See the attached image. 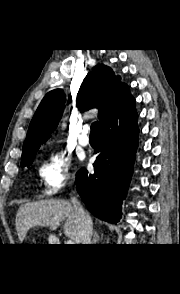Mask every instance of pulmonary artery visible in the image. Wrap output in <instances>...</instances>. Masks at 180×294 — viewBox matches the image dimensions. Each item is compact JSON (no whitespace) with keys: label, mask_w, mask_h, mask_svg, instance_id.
Masks as SVG:
<instances>
[{"label":"pulmonary artery","mask_w":180,"mask_h":294,"mask_svg":"<svg viewBox=\"0 0 180 294\" xmlns=\"http://www.w3.org/2000/svg\"><path fill=\"white\" fill-rule=\"evenodd\" d=\"M89 128H90L89 125H85L84 128H83V133L78 138V142L82 146H87L90 143V139L87 136V133L89 131Z\"/></svg>","instance_id":"e3ab8cb5"}]
</instances>
